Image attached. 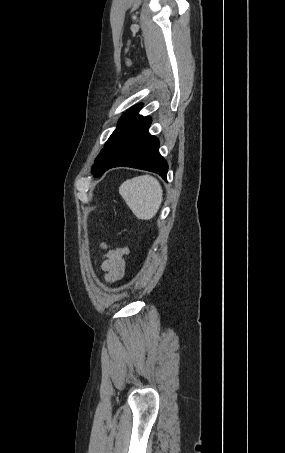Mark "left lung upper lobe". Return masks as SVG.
Here are the masks:
<instances>
[{
    "label": "left lung upper lobe",
    "instance_id": "left-lung-upper-lobe-1",
    "mask_svg": "<svg viewBox=\"0 0 285 453\" xmlns=\"http://www.w3.org/2000/svg\"><path fill=\"white\" fill-rule=\"evenodd\" d=\"M142 105H136L130 110H128L119 120V125L115 129V131L112 133L108 141L106 142L104 149L100 152V154L97 156L92 173L95 177L98 176L101 168L106 164L113 148L115 147L116 143L118 142L119 138L122 136V134L126 131V129L139 117L138 111Z\"/></svg>",
    "mask_w": 285,
    "mask_h": 453
}]
</instances>
